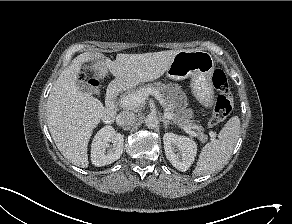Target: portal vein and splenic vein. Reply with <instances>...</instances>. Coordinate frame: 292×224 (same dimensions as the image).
<instances>
[{"mask_svg": "<svg viewBox=\"0 0 292 224\" xmlns=\"http://www.w3.org/2000/svg\"><path fill=\"white\" fill-rule=\"evenodd\" d=\"M151 94L154 95L155 98L160 102L161 105L165 106V113H164V117L167 119H172L173 116L172 114L169 112V108L167 107L165 101L161 98V96L158 94V92L156 91H152V90H147V91H137L135 93L132 94H128L126 96H122L119 100L121 107L126 108V109H130V108H136L139 106H142L147 98V96ZM181 129L183 131H185L186 133L191 134L192 136H197V133L194 131H191L192 129H197V130H201L200 126H181ZM209 135L211 137H215L216 133L214 132H209Z\"/></svg>", "mask_w": 292, "mask_h": 224, "instance_id": "obj_1", "label": "portal vein and splenic vein"}]
</instances>
